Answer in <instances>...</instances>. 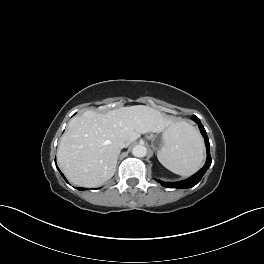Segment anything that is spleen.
I'll use <instances>...</instances> for the list:
<instances>
[{
  "instance_id": "1",
  "label": "spleen",
  "mask_w": 264,
  "mask_h": 264,
  "mask_svg": "<svg viewBox=\"0 0 264 264\" xmlns=\"http://www.w3.org/2000/svg\"><path fill=\"white\" fill-rule=\"evenodd\" d=\"M157 157L173 173L190 176L200 168L204 158L202 137L188 123H177L168 143L158 151Z\"/></svg>"
}]
</instances>
